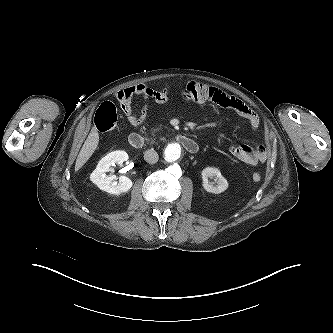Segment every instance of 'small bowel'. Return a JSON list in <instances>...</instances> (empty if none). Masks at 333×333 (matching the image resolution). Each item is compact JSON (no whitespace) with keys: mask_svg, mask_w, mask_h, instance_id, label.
Returning <instances> with one entry per match:
<instances>
[{"mask_svg":"<svg viewBox=\"0 0 333 333\" xmlns=\"http://www.w3.org/2000/svg\"><path fill=\"white\" fill-rule=\"evenodd\" d=\"M175 94L176 92L169 88L159 90L147 84H138L119 91L116 94V99L129 124L137 127L144 122L147 116L148 99L157 103H165ZM180 95L184 99L195 103H216L244 118L253 131H256L259 127V116L254 110L238 98L228 95L219 88L192 81L180 91ZM138 96L143 97L144 104L138 112H135L132 103ZM230 153L240 161L252 166L264 163L267 160V150L263 145L255 147L245 144L234 145L230 148Z\"/></svg>","mask_w":333,"mask_h":333,"instance_id":"1","label":"small bowel"}]
</instances>
